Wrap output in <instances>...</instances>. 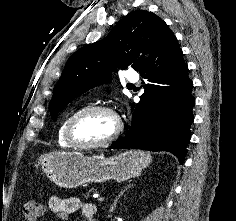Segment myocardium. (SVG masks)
<instances>
[{
	"label": "myocardium",
	"mask_w": 236,
	"mask_h": 221,
	"mask_svg": "<svg viewBox=\"0 0 236 221\" xmlns=\"http://www.w3.org/2000/svg\"><path fill=\"white\" fill-rule=\"evenodd\" d=\"M96 112L107 113L115 119L116 130L114 134L110 138L101 142H96V143L79 142L78 140H76L73 133L75 125L83 117L92 113H96ZM122 129H123V126H122L121 119L118 113L113 108L106 105H91V106H87L78 110L69 118L65 127V139L73 148L83 149V150L99 149V148L107 147L113 144L114 142H116L122 133Z\"/></svg>",
	"instance_id": "myocardium-1"
}]
</instances>
